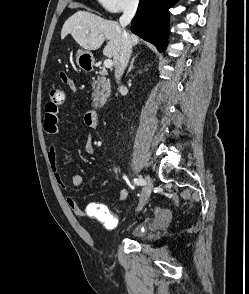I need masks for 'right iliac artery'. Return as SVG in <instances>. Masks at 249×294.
<instances>
[{
    "instance_id": "82829eb1",
    "label": "right iliac artery",
    "mask_w": 249,
    "mask_h": 294,
    "mask_svg": "<svg viewBox=\"0 0 249 294\" xmlns=\"http://www.w3.org/2000/svg\"><path fill=\"white\" fill-rule=\"evenodd\" d=\"M133 182H134V184L140 185V186H143V185L146 184L145 180L143 178H141V177L140 178H135L133 180Z\"/></svg>"
}]
</instances>
